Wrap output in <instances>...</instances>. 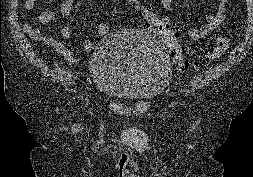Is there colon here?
<instances>
[{"instance_id":"colon-1","label":"colon","mask_w":253,"mask_h":177,"mask_svg":"<svg viewBox=\"0 0 253 177\" xmlns=\"http://www.w3.org/2000/svg\"><path fill=\"white\" fill-rule=\"evenodd\" d=\"M130 8L140 12L147 30L157 36L167 46L180 71L199 69L200 65L190 62L185 57L184 49L178 38V31L169 19L158 16L140 0H114L113 12L115 14L123 13ZM230 44V35L216 37L213 47L208 52V60L213 61L217 59L229 48Z\"/></svg>"}]
</instances>
